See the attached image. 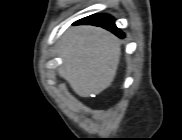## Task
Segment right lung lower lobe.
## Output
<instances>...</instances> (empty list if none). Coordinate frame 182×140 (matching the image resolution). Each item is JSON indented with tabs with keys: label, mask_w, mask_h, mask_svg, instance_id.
Wrapping results in <instances>:
<instances>
[{
	"label": "right lung lower lobe",
	"mask_w": 182,
	"mask_h": 140,
	"mask_svg": "<svg viewBox=\"0 0 182 140\" xmlns=\"http://www.w3.org/2000/svg\"><path fill=\"white\" fill-rule=\"evenodd\" d=\"M77 25H95L103 27L120 38L124 37V34L115 26L114 18L106 14H94L75 22Z\"/></svg>",
	"instance_id": "obj_1"
}]
</instances>
